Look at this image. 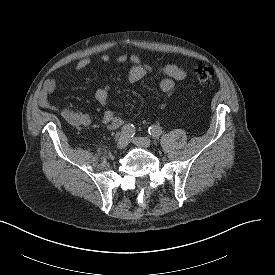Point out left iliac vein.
<instances>
[{
    "mask_svg": "<svg viewBox=\"0 0 275 275\" xmlns=\"http://www.w3.org/2000/svg\"><path fill=\"white\" fill-rule=\"evenodd\" d=\"M132 142L138 146V147H141V148H144V149H148L151 147V141L149 138L147 137H135L132 139Z\"/></svg>",
    "mask_w": 275,
    "mask_h": 275,
    "instance_id": "obj_1",
    "label": "left iliac vein"
}]
</instances>
